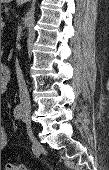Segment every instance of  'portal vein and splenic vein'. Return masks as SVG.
Returning <instances> with one entry per match:
<instances>
[{"instance_id": "portal-vein-and-splenic-vein-1", "label": "portal vein and splenic vein", "mask_w": 109, "mask_h": 170, "mask_svg": "<svg viewBox=\"0 0 109 170\" xmlns=\"http://www.w3.org/2000/svg\"><path fill=\"white\" fill-rule=\"evenodd\" d=\"M5 26V22L1 21V28H3Z\"/></svg>"}]
</instances>
